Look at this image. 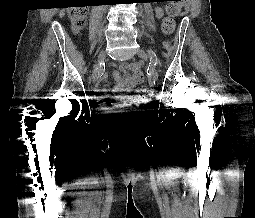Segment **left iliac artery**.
Here are the masks:
<instances>
[{
    "instance_id": "44dca946",
    "label": "left iliac artery",
    "mask_w": 255,
    "mask_h": 218,
    "mask_svg": "<svg viewBox=\"0 0 255 218\" xmlns=\"http://www.w3.org/2000/svg\"><path fill=\"white\" fill-rule=\"evenodd\" d=\"M148 53L150 55L151 63L154 66H157L159 64V59H158L156 53L153 50H148Z\"/></svg>"
}]
</instances>
